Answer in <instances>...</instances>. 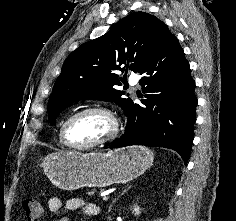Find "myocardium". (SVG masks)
I'll use <instances>...</instances> for the list:
<instances>
[{
	"label": "myocardium",
	"instance_id": "obj_1",
	"mask_svg": "<svg viewBox=\"0 0 236 221\" xmlns=\"http://www.w3.org/2000/svg\"><path fill=\"white\" fill-rule=\"evenodd\" d=\"M92 112L103 113L110 118V120L112 122L111 133L106 138L96 141V142H93V143H90V144H86V145L73 144L72 142H70V140L68 139V136H67V129H68L69 124L78 116H81L86 113H92ZM120 130H121V121H120L118 115L112 109H110L109 107H106V106L94 105V106H89V107L83 108V109L73 113L64 121V123L62 124V127H61V139H62L63 143L71 149L89 150V149H94L97 147H102V146H105V145L113 142L118 137Z\"/></svg>",
	"mask_w": 236,
	"mask_h": 221
}]
</instances>
